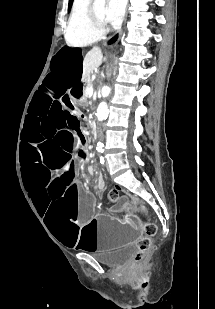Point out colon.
<instances>
[{
    "label": "colon",
    "mask_w": 215,
    "mask_h": 309,
    "mask_svg": "<svg viewBox=\"0 0 215 309\" xmlns=\"http://www.w3.org/2000/svg\"><path fill=\"white\" fill-rule=\"evenodd\" d=\"M118 196H119V193L115 189L111 190L108 194V198L110 202L112 203L117 201ZM144 227H145L146 237L139 240L136 244L135 256L137 260H142L147 256L149 249H150L151 236L155 235L157 232V226L154 222L148 221L145 223Z\"/></svg>",
    "instance_id": "5ec220e1"
}]
</instances>
